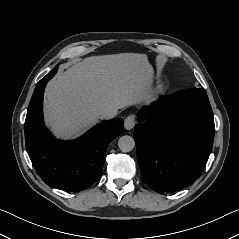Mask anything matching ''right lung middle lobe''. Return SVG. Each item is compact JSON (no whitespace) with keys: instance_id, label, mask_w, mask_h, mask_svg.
I'll return each mask as SVG.
<instances>
[{"instance_id":"right-lung-middle-lobe-1","label":"right lung middle lobe","mask_w":239,"mask_h":239,"mask_svg":"<svg viewBox=\"0 0 239 239\" xmlns=\"http://www.w3.org/2000/svg\"><path fill=\"white\" fill-rule=\"evenodd\" d=\"M58 65L48 74L54 76V74L57 72Z\"/></svg>"}]
</instances>
